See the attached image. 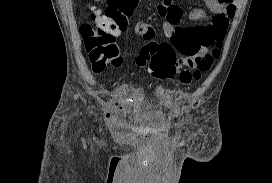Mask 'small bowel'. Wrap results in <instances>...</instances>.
Listing matches in <instances>:
<instances>
[{
    "label": "small bowel",
    "instance_id": "obj_1",
    "mask_svg": "<svg viewBox=\"0 0 272 183\" xmlns=\"http://www.w3.org/2000/svg\"><path fill=\"white\" fill-rule=\"evenodd\" d=\"M204 2L213 16L208 18L204 10L192 9L188 19L199 23L197 26L182 25L183 12L172 0H161L156 5L158 14L164 19L163 35L180 54L177 58L178 69L192 68L196 60L206 54L214 43L222 41L235 15L236 0ZM134 31L146 43L152 42L156 36L155 29L145 22L135 23ZM119 112L120 109L111 111L107 117H113Z\"/></svg>",
    "mask_w": 272,
    "mask_h": 183
}]
</instances>
